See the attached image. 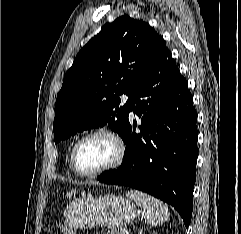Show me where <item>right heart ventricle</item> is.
I'll return each instance as SVG.
<instances>
[{
  "label": "right heart ventricle",
  "instance_id": "e07e8e85",
  "mask_svg": "<svg viewBox=\"0 0 241 234\" xmlns=\"http://www.w3.org/2000/svg\"><path fill=\"white\" fill-rule=\"evenodd\" d=\"M69 167L71 168L70 158H69ZM72 169V168H71Z\"/></svg>",
  "mask_w": 241,
  "mask_h": 234
}]
</instances>
